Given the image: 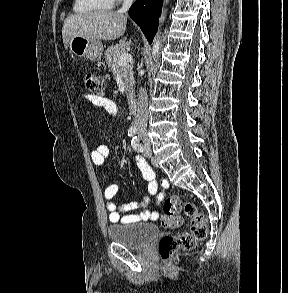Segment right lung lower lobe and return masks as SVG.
Segmentation results:
<instances>
[{"label": "right lung lower lobe", "mask_w": 288, "mask_h": 293, "mask_svg": "<svg viewBox=\"0 0 288 293\" xmlns=\"http://www.w3.org/2000/svg\"><path fill=\"white\" fill-rule=\"evenodd\" d=\"M163 0H136L129 9L130 17L141 28L151 44L158 28Z\"/></svg>", "instance_id": "1"}]
</instances>
